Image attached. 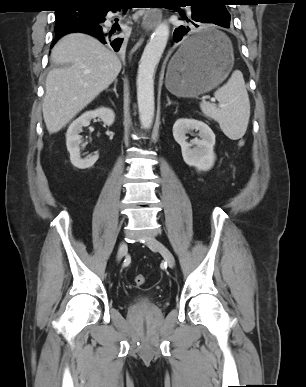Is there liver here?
I'll return each mask as SVG.
<instances>
[{"label":"liver","instance_id":"6515ba94","mask_svg":"<svg viewBox=\"0 0 306 387\" xmlns=\"http://www.w3.org/2000/svg\"><path fill=\"white\" fill-rule=\"evenodd\" d=\"M51 59L60 67L47 75L42 111L52 134L111 85L121 71V62L96 38L84 33L62 37L53 47Z\"/></svg>","mask_w":306,"mask_h":387}]
</instances>
